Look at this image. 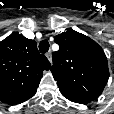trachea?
<instances>
[{
	"label": "trachea",
	"mask_w": 114,
	"mask_h": 114,
	"mask_svg": "<svg viewBox=\"0 0 114 114\" xmlns=\"http://www.w3.org/2000/svg\"><path fill=\"white\" fill-rule=\"evenodd\" d=\"M49 50V42L47 40H43L39 44V51L41 53H46Z\"/></svg>",
	"instance_id": "3493384b"
}]
</instances>
